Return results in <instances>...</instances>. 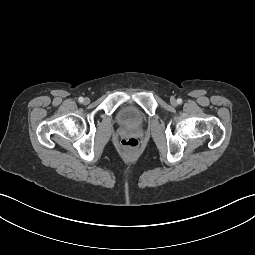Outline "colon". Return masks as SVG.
<instances>
[{"instance_id":"1","label":"colon","mask_w":255,"mask_h":255,"mask_svg":"<svg viewBox=\"0 0 255 255\" xmlns=\"http://www.w3.org/2000/svg\"><path fill=\"white\" fill-rule=\"evenodd\" d=\"M122 148L129 152L133 153L139 148V140L135 137H126L121 141Z\"/></svg>"}]
</instances>
